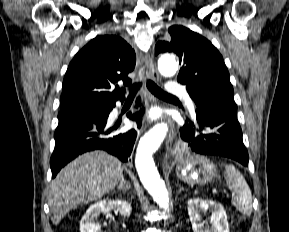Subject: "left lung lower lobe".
<instances>
[{
	"instance_id": "obj_1",
	"label": "left lung lower lobe",
	"mask_w": 289,
	"mask_h": 232,
	"mask_svg": "<svg viewBox=\"0 0 289 232\" xmlns=\"http://www.w3.org/2000/svg\"><path fill=\"white\" fill-rule=\"evenodd\" d=\"M180 136L187 152L224 156L248 166V153L240 125L237 117L230 112L199 105L196 119L186 121L180 129Z\"/></svg>"
}]
</instances>
